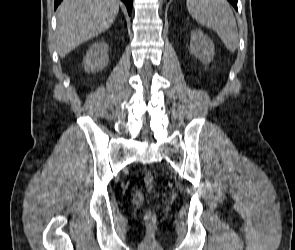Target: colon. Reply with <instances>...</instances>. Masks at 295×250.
<instances>
[{"label":"colon","mask_w":295,"mask_h":250,"mask_svg":"<svg viewBox=\"0 0 295 250\" xmlns=\"http://www.w3.org/2000/svg\"><path fill=\"white\" fill-rule=\"evenodd\" d=\"M154 185V176L152 174H147L144 177V186L147 190H151ZM145 221L148 224H153L155 221V214L153 211L149 210L145 214Z\"/></svg>","instance_id":"1"}]
</instances>
